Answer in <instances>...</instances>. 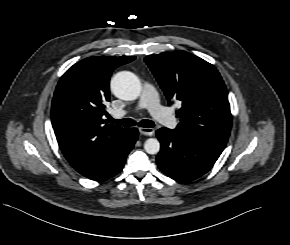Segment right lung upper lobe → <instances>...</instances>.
Wrapping results in <instances>:
<instances>
[{"label": "right lung upper lobe", "instance_id": "right-lung-upper-lobe-1", "mask_svg": "<svg viewBox=\"0 0 290 245\" xmlns=\"http://www.w3.org/2000/svg\"><path fill=\"white\" fill-rule=\"evenodd\" d=\"M135 57H91L70 67L56 87L52 126L65 158L85 177L111 165L127 148L130 128L106 124L109 81L115 68Z\"/></svg>", "mask_w": 290, "mask_h": 245}]
</instances>
